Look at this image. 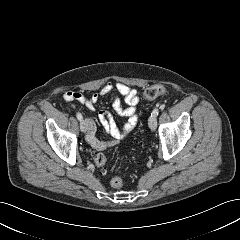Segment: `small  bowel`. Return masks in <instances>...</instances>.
<instances>
[{"instance_id": "obj_1", "label": "small bowel", "mask_w": 240, "mask_h": 240, "mask_svg": "<svg viewBox=\"0 0 240 240\" xmlns=\"http://www.w3.org/2000/svg\"><path fill=\"white\" fill-rule=\"evenodd\" d=\"M114 91L123 98L127 107H124L121 104L120 98L116 96L112 100V108L117 115L127 118V121L122 127H120L108 111L100 110L98 112V122L105 132L111 136V140L103 141L96 137L97 127L95 121L88 118L86 120V140L96 150H106L117 145L120 140L131 134L134 130L138 121L137 105L139 103V96L137 90L122 82H108L104 84L99 91L89 97L77 91L66 92L63 96L66 102L77 101L84 104L88 109L94 111L100 97L111 94Z\"/></svg>"}]
</instances>
